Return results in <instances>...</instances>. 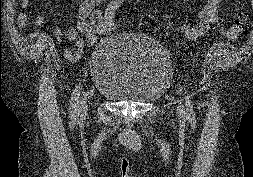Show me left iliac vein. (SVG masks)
<instances>
[{
  "instance_id": "left-iliac-vein-1",
  "label": "left iliac vein",
  "mask_w": 253,
  "mask_h": 177,
  "mask_svg": "<svg viewBox=\"0 0 253 177\" xmlns=\"http://www.w3.org/2000/svg\"><path fill=\"white\" fill-rule=\"evenodd\" d=\"M184 109H183V107L182 106H179L178 108H177V115H178V117L179 118H184Z\"/></svg>"
}]
</instances>
